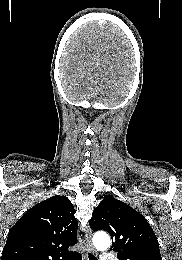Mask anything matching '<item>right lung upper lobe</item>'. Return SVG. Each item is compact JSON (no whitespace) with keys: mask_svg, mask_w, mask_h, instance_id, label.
<instances>
[{"mask_svg":"<svg viewBox=\"0 0 182 260\" xmlns=\"http://www.w3.org/2000/svg\"><path fill=\"white\" fill-rule=\"evenodd\" d=\"M70 200L56 195L29 209L11 228L1 260H69L78 222Z\"/></svg>","mask_w":182,"mask_h":260,"instance_id":"obj_1","label":"right lung upper lobe"}]
</instances>
